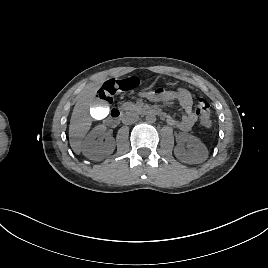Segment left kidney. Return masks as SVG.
Returning a JSON list of instances; mask_svg holds the SVG:
<instances>
[{
    "mask_svg": "<svg viewBox=\"0 0 268 268\" xmlns=\"http://www.w3.org/2000/svg\"><path fill=\"white\" fill-rule=\"evenodd\" d=\"M178 144L174 148V155L178 160L188 164L202 163L207 159V147L195 136L180 133L177 136ZM185 144L189 150L185 149Z\"/></svg>",
    "mask_w": 268,
    "mask_h": 268,
    "instance_id": "obj_1",
    "label": "left kidney"
}]
</instances>
